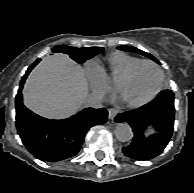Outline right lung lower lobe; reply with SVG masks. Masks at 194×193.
Here are the masks:
<instances>
[{
    "label": "right lung lower lobe",
    "instance_id": "1",
    "mask_svg": "<svg viewBox=\"0 0 194 193\" xmlns=\"http://www.w3.org/2000/svg\"><path fill=\"white\" fill-rule=\"evenodd\" d=\"M31 70L30 66L16 95V126L23 144L42 161L56 162L75 156L89 128L107 121V110L87 108L63 120H50L33 113L23 105L21 93Z\"/></svg>",
    "mask_w": 194,
    "mask_h": 193
}]
</instances>
